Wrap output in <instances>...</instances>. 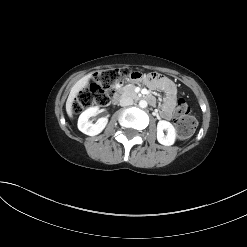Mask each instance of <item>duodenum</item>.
<instances>
[{
  "instance_id": "duodenum-1",
  "label": "duodenum",
  "mask_w": 247,
  "mask_h": 247,
  "mask_svg": "<svg viewBox=\"0 0 247 247\" xmlns=\"http://www.w3.org/2000/svg\"><path fill=\"white\" fill-rule=\"evenodd\" d=\"M121 97H123V95L122 94H117V96L115 97V101L117 102V101H119V99L121 98ZM139 98L140 99H142V100H145L146 102H148V103H150V104H154L155 103V99H154V97L153 96H151V95H142V96H139ZM115 103V102H114ZM116 105V104H115Z\"/></svg>"
}]
</instances>
